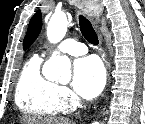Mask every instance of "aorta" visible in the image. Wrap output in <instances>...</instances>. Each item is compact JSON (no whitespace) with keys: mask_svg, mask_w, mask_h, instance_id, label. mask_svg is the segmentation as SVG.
<instances>
[{"mask_svg":"<svg viewBox=\"0 0 145 124\" xmlns=\"http://www.w3.org/2000/svg\"><path fill=\"white\" fill-rule=\"evenodd\" d=\"M67 15L63 12L52 15L48 27L47 38L51 43L60 42L67 32ZM71 63L68 57L60 56L59 52H53L52 56L43 66V76L51 81L68 82L71 79ZM98 124V123H96Z\"/></svg>","mask_w":145,"mask_h":124,"instance_id":"obj_1","label":"aorta"}]
</instances>
